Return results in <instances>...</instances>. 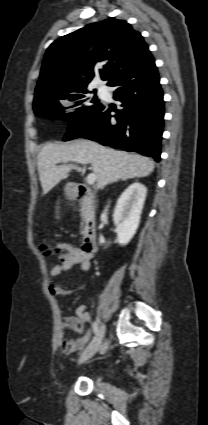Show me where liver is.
I'll return each instance as SVG.
<instances>
[{
    "instance_id": "obj_1",
    "label": "liver",
    "mask_w": 208,
    "mask_h": 425,
    "mask_svg": "<svg viewBox=\"0 0 208 425\" xmlns=\"http://www.w3.org/2000/svg\"><path fill=\"white\" fill-rule=\"evenodd\" d=\"M63 159L84 160L91 164L100 188L116 182L150 175L154 161L138 154L117 151L89 140L71 144L48 143L38 154V173L43 194H47L72 170L81 171L76 165H57Z\"/></svg>"
}]
</instances>
